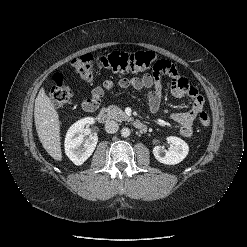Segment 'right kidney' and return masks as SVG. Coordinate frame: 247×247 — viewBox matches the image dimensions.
I'll list each match as a JSON object with an SVG mask.
<instances>
[{"label": "right kidney", "instance_id": "right-kidney-1", "mask_svg": "<svg viewBox=\"0 0 247 247\" xmlns=\"http://www.w3.org/2000/svg\"><path fill=\"white\" fill-rule=\"evenodd\" d=\"M92 117H86L74 123L65 137V153L75 165H82L94 152L98 142L96 135L84 138L85 125L94 124Z\"/></svg>", "mask_w": 247, "mask_h": 247}]
</instances>
